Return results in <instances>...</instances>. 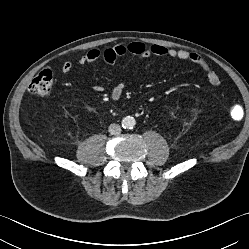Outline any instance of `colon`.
<instances>
[{"label":"colon","mask_w":249,"mask_h":249,"mask_svg":"<svg viewBox=\"0 0 249 249\" xmlns=\"http://www.w3.org/2000/svg\"><path fill=\"white\" fill-rule=\"evenodd\" d=\"M54 84V72L50 68L41 70L29 85V91L38 96H45L50 93ZM243 114L240 106H234L231 115L234 119H239Z\"/></svg>","instance_id":"colon-1"}]
</instances>
